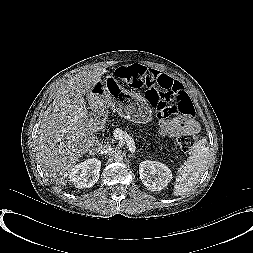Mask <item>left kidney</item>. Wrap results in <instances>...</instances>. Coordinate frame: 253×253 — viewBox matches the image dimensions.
<instances>
[{
  "label": "left kidney",
  "instance_id": "obj_1",
  "mask_svg": "<svg viewBox=\"0 0 253 253\" xmlns=\"http://www.w3.org/2000/svg\"><path fill=\"white\" fill-rule=\"evenodd\" d=\"M139 174L142 183L150 191L162 190L172 179L171 170L158 161H142L139 165Z\"/></svg>",
  "mask_w": 253,
  "mask_h": 253
}]
</instances>
